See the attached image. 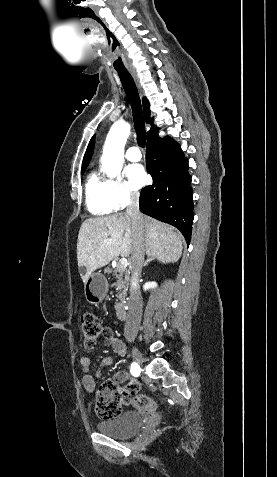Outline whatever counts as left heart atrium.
<instances>
[{
	"instance_id": "obj_1",
	"label": "left heart atrium",
	"mask_w": 277,
	"mask_h": 477,
	"mask_svg": "<svg viewBox=\"0 0 277 477\" xmlns=\"http://www.w3.org/2000/svg\"><path fill=\"white\" fill-rule=\"evenodd\" d=\"M127 176L130 180L131 185L134 188L142 187L146 180L147 176L144 168L139 164H133L127 167L126 169Z\"/></svg>"
}]
</instances>
